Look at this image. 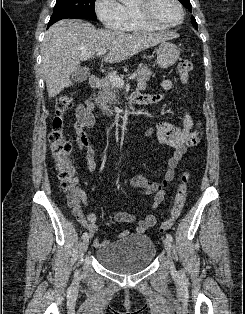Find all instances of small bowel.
I'll list each match as a JSON object with an SVG mask.
<instances>
[{
	"label": "small bowel",
	"mask_w": 245,
	"mask_h": 314,
	"mask_svg": "<svg viewBox=\"0 0 245 314\" xmlns=\"http://www.w3.org/2000/svg\"><path fill=\"white\" fill-rule=\"evenodd\" d=\"M174 83H177L176 78H168L162 81L161 87L163 90H170ZM140 89L145 90L147 84L140 83ZM143 99L139 104H154L163 100L164 95L160 93H143ZM77 121L75 123L76 142L80 150L85 154L86 165L90 171H95L97 163L95 160V151L88 139L86 129L92 128L95 125V117L93 114V104L85 101L77 106L76 109ZM195 125V120L189 111H186L183 116L182 127L178 128L172 126L167 122H159L154 128L146 131L147 137L155 136L162 144H166L173 149L172 154L166 162V171L162 178L158 181H150L143 175H136L129 181V186L143 195L154 194V201L150 208H156L162 205L165 201L166 192L165 187L173 180L175 176V169L181 160L182 156L186 153L188 147L196 145L201 136L202 130L200 126L192 130ZM85 201V196H82ZM110 218L118 223H133L136 221L134 215L127 212L115 211L110 214ZM98 217L95 214L87 216L86 228L90 235H93L97 230ZM157 223V218L153 214L146 215L143 219L138 221L135 232L138 235L144 234L149 228ZM130 234L128 230H123L119 233V237H126ZM95 246L108 244V241L94 240Z\"/></svg>",
	"instance_id": "c3829d8e"
}]
</instances>
